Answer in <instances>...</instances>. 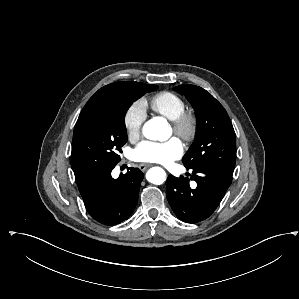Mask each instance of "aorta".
<instances>
[{"instance_id": "obj_1", "label": "aorta", "mask_w": 299, "mask_h": 299, "mask_svg": "<svg viewBox=\"0 0 299 299\" xmlns=\"http://www.w3.org/2000/svg\"><path fill=\"white\" fill-rule=\"evenodd\" d=\"M143 135L149 140H167L170 136V128L166 119L163 117H154L148 120L142 129ZM148 182L161 185L166 180V173L160 167H152L146 173Z\"/></svg>"}]
</instances>
